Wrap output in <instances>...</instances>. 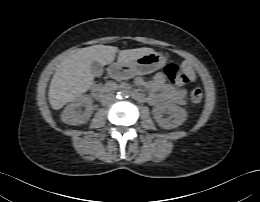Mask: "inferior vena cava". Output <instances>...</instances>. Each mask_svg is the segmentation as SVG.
I'll use <instances>...</instances> for the list:
<instances>
[{
  "instance_id": "602c4592",
  "label": "inferior vena cava",
  "mask_w": 260,
  "mask_h": 202,
  "mask_svg": "<svg viewBox=\"0 0 260 202\" xmlns=\"http://www.w3.org/2000/svg\"><path fill=\"white\" fill-rule=\"evenodd\" d=\"M114 101H115V96H114V94H111V93L105 94L101 98L102 105H109Z\"/></svg>"
}]
</instances>
